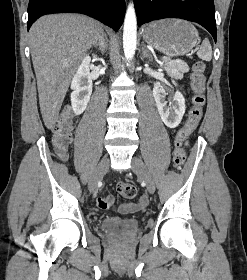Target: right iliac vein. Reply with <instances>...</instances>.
Instances as JSON below:
<instances>
[{
	"instance_id": "right-iliac-vein-1",
	"label": "right iliac vein",
	"mask_w": 247,
	"mask_h": 280,
	"mask_svg": "<svg viewBox=\"0 0 247 280\" xmlns=\"http://www.w3.org/2000/svg\"><path fill=\"white\" fill-rule=\"evenodd\" d=\"M109 168V159L103 158L95 169L93 176L89 183L90 190H94L98 181L103 178Z\"/></svg>"
}]
</instances>
